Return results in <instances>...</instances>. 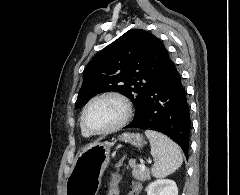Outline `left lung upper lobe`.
<instances>
[{"instance_id":"left-lung-upper-lobe-1","label":"left lung upper lobe","mask_w":240,"mask_h":195,"mask_svg":"<svg viewBox=\"0 0 240 195\" xmlns=\"http://www.w3.org/2000/svg\"><path fill=\"white\" fill-rule=\"evenodd\" d=\"M169 61L165 46L156 36L141 29L127 31L87 65L75 109L99 93L115 91L132 101L136 116L150 88L165 75Z\"/></svg>"}]
</instances>
